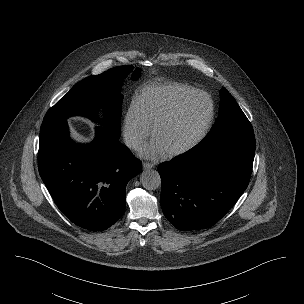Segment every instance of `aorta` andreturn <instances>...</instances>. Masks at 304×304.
Here are the masks:
<instances>
[{
	"label": "aorta",
	"instance_id": "obj_1",
	"mask_svg": "<svg viewBox=\"0 0 304 304\" xmlns=\"http://www.w3.org/2000/svg\"><path fill=\"white\" fill-rule=\"evenodd\" d=\"M142 186L147 190H155L161 185V177L156 170H145L140 176Z\"/></svg>",
	"mask_w": 304,
	"mask_h": 304
}]
</instances>
